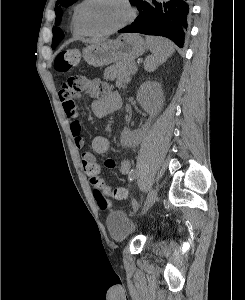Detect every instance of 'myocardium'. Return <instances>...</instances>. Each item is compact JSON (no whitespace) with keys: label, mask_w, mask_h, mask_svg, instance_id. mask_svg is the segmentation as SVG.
Segmentation results:
<instances>
[{"label":"myocardium","mask_w":245,"mask_h":300,"mask_svg":"<svg viewBox=\"0 0 245 300\" xmlns=\"http://www.w3.org/2000/svg\"><path fill=\"white\" fill-rule=\"evenodd\" d=\"M90 2H92V0H83L77 10V15H76L77 23H78L79 27L81 28V30L83 31V33L86 35L94 36V37H102V36L111 35L113 33H116L117 31L125 28L127 25H129L133 21V19L135 17V9H134L131 1L130 0H121V2L125 5V7L127 9V17L121 24H119L111 29L105 30V31H99V32L89 31L83 24L82 13H83L84 8Z\"/></svg>","instance_id":"myocardium-1"}]
</instances>
